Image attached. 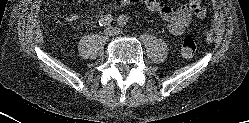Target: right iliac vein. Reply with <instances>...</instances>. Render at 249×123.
I'll use <instances>...</instances> for the list:
<instances>
[{"label": "right iliac vein", "instance_id": "right-iliac-vein-1", "mask_svg": "<svg viewBox=\"0 0 249 123\" xmlns=\"http://www.w3.org/2000/svg\"><path fill=\"white\" fill-rule=\"evenodd\" d=\"M105 35L107 37H111V36L115 35V30L111 27L107 28V29H105Z\"/></svg>", "mask_w": 249, "mask_h": 123}]
</instances>
